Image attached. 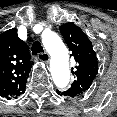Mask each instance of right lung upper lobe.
Listing matches in <instances>:
<instances>
[{
	"label": "right lung upper lobe",
	"mask_w": 117,
	"mask_h": 117,
	"mask_svg": "<svg viewBox=\"0 0 117 117\" xmlns=\"http://www.w3.org/2000/svg\"><path fill=\"white\" fill-rule=\"evenodd\" d=\"M29 48L13 28L0 34V96L17 98L25 91L32 67Z\"/></svg>",
	"instance_id": "obj_1"
}]
</instances>
